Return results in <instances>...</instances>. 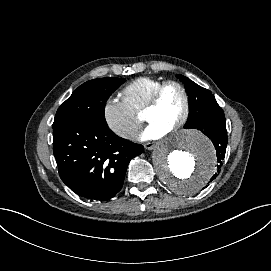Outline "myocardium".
Masks as SVG:
<instances>
[{
    "instance_id": "myocardium-1",
    "label": "myocardium",
    "mask_w": 271,
    "mask_h": 271,
    "mask_svg": "<svg viewBox=\"0 0 271 271\" xmlns=\"http://www.w3.org/2000/svg\"><path fill=\"white\" fill-rule=\"evenodd\" d=\"M169 85H175L179 87L185 97V111L183 115L181 116V118L174 124V126L170 130V132H174L181 129L188 122L191 116V112H192V100H191L190 92L188 88L186 87V85L182 83L181 81L176 80V79H169V80L162 81L154 90L151 96V100L144 110V115H146L149 111L158 108L160 104L161 95L164 89Z\"/></svg>"
}]
</instances>
